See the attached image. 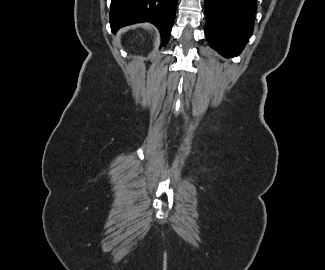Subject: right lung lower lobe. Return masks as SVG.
<instances>
[{"instance_id":"98d812e1","label":"right lung lower lobe","mask_w":325,"mask_h":270,"mask_svg":"<svg viewBox=\"0 0 325 270\" xmlns=\"http://www.w3.org/2000/svg\"><path fill=\"white\" fill-rule=\"evenodd\" d=\"M178 0H111L112 32L124 26L151 22L160 31L161 46L169 40Z\"/></svg>"}]
</instances>
